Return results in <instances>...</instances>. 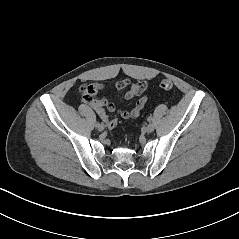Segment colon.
I'll list each match as a JSON object with an SVG mask.
<instances>
[{"mask_svg": "<svg viewBox=\"0 0 239 239\" xmlns=\"http://www.w3.org/2000/svg\"><path fill=\"white\" fill-rule=\"evenodd\" d=\"M159 87L163 90H170L173 87V83L169 79H162L159 82ZM93 92H94V88L91 85L85 86L83 88V93L84 94H91Z\"/></svg>", "mask_w": 239, "mask_h": 239, "instance_id": "obj_1", "label": "colon"}]
</instances>
